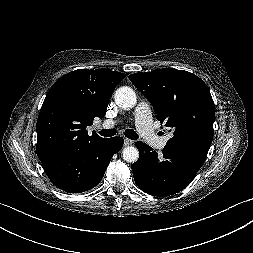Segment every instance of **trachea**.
I'll list each match as a JSON object with an SVG mask.
<instances>
[{
    "label": "trachea",
    "instance_id": "obj_1",
    "mask_svg": "<svg viewBox=\"0 0 253 253\" xmlns=\"http://www.w3.org/2000/svg\"><path fill=\"white\" fill-rule=\"evenodd\" d=\"M99 134L104 137H111L116 134V130L115 129H103V130L99 131ZM124 134L127 138H129L131 140L138 139V134L132 129L125 130Z\"/></svg>",
    "mask_w": 253,
    "mask_h": 253
}]
</instances>
